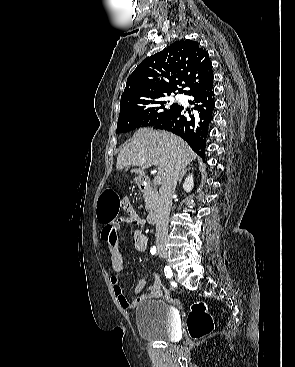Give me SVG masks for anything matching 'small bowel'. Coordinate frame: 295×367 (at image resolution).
Returning <instances> with one entry per match:
<instances>
[{"label": "small bowel", "mask_w": 295, "mask_h": 367, "mask_svg": "<svg viewBox=\"0 0 295 367\" xmlns=\"http://www.w3.org/2000/svg\"><path fill=\"white\" fill-rule=\"evenodd\" d=\"M123 209L129 215V219L125 220L123 218H117L112 222L103 223L104 226L101 230V239L107 245L110 254L111 268L114 272V274L110 276V283L112 285L114 294L118 300L119 305L123 309L129 310L136 308L140 303L147 299L160 298L161 296H163L164 288L160 277L156 273L151 272L150 274L139 276L138 282L134 288V294L138 295L145 288L149 276H152L154 278V283L146 290V292L141 297L133 301H129L125 297L122 287L119 284L118 278V274L121 273L123 270V257L120 253L118 246V230L121 225L124 224L126 221L134 225L141 226L145 224V221L137 214L130 200L127 198L123 199ZM147 243V235L143 231L135 229L133 231V245L135 250L138 252H144L146 250Z\"/></svg>", "instance_id": "obj_1"}]
</instances>
